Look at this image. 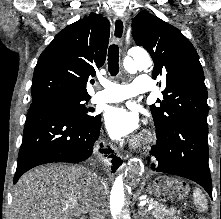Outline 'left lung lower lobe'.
<instances>
[{
  "instance_id": "0a47b994",
  "label": "left lung lower lobe",
  "mask_w": 221,
  "mask_h": 219,
  "mask_svg": "<svg viewBox=\"0 0 221 219\" xmlns=\"http://www.w3.org/2000/svg\"><path fill=\"white\" fill-rule=\"evenodd\" d=\"M157 134L152 149L153 172L168 173L195 181L212 197L208 165V126L192 120H179Z\"/></svg>"
}]
</instances>
